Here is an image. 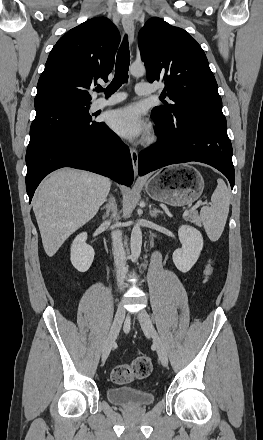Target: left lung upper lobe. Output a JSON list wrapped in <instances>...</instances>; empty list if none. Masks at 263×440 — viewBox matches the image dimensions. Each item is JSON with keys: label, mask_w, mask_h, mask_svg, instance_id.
I'll list each match as a JSON object with an SVG mask.
<instances>
[{"label": "left lung upper lobe", "mask_w": 263, "mask_h": 440, "mask_svg": "<svg viewBox=\"0 0 263 440\" xmlns=\"http://www.w3.org/2000/svg\"><path fill=\"white\" fill-rule=\"evenodd\" d=\"M139 48L148 81H165V96L173 101L154 107L153 116L169 123L223 115L207 57L188 32L151 18L139 33Z\"/></svg>", "instance_id": "left-lung-upper-lobe-1"}]
</instances>
